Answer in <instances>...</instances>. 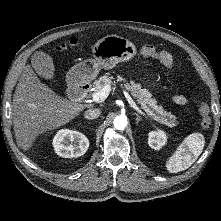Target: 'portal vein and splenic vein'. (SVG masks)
I'll use <instances>...</instances> for the list:
<instances>
[{
  "label": "portal vein and splenic vein",
  "instance_id": "1",
  "mask_svg": "<svg viewBox=\"0 0 221 221\" xmlns=\"http://www.w3.org/2000/svg\"><path fill=\"white\" fill-rule=\"evenodd\" d=\"M121 89H122V92H123L124 96L126 97L127 101L131 105V107L134 110H136L139 114H141L142 116H146V114L135 104V102L131 98L130 94L123 87H121ZM110 91H111V84H106L101 90L93 93L92 100L94 102H102L107 98Z\"/></svg>",
  "mask_w": 221,
  "mask_h": 221
}]
</instances>
